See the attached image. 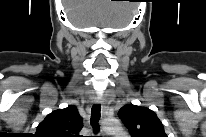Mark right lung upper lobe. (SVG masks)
Instances as JSON below:
<instances>
[{
	"instance_id": "cb5924a9",
	"label": "right lung upper lobe",
	"mask_w": 206,
	"mask_h": 137,
	"mask_svg": "<svg viewBox=\"0 0 206 137\" xmlns=\"http://www.w3.org/2000/svg\"><path fill=\"white\" fill-rule=\"evenodd\" d=\"M83 119L76 106H68L48 114L37 126V137H77Z\"/></svg>"
}]
</instances>
